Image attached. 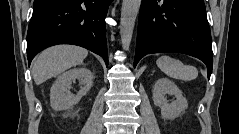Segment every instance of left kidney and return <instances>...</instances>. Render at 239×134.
<instances>
[{
	"label": "left kidney",
	"instance_id": "left-kidney-1",
	"mask_svg": "<svg viewBox=\"0 0 239 134\" xmlns=\"http://www.w3.org/2000/svg\"><path fill=\"white\" fill-rule=\"evenodd\" d=\"M154 104L161 109L164 119H175L183 114L188 107V102L183 96L182 91L169 79L160 78L156 81L153 90ZM174 95L176 100L168 103L165 95Z\"/></svg>",
	"mask_w": 239,
	"mask_h": 134
}]
</instances>
